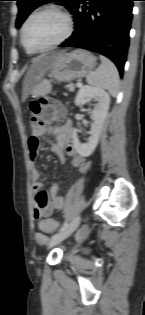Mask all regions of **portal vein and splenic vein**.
Wrapping results in <instances>:
<instances>
[{
  "label": "portal vein and splenic vein",
  "mask_w": 145,
  "mask_h": 315,
  "mask_svg": "<svg viewBox=\"0 0 145 315\" xmlns=\"http://www.w3.org/2000/svg\"><path fill=\"white\" fill-rule=\"evenodd\" d=\"M82 86V83H77V87H81Z\"/></svg>",
  "instance_id": "portal-vein-and-splenic-vein-1"
}]
</instances>
